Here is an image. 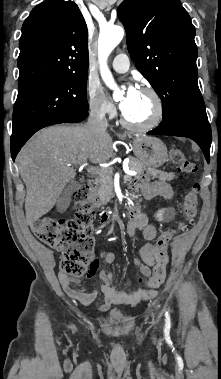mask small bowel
I'll return each instance as SVG.
<instances>
[{
	"label": "small bowel",
	"mask_w": 221,
	"mask_h": 379,
	"mask_svg": "<svg viewBox=\"0 0 221 379\" xmlns=\"http://www.w3.org/2000/svg\"><path fill=\"white\" fill-rule=\"evenodd\" d=\"M134 189L141 192L147 199H152L157 196H162L165 199H171L173 195L172 187L165 181H149L142 178L134 184ZM127 233L130 237H134L137 233H141L147 241H152L158 234V228L149 223L148 216L143 212L132 214L127 223ZM157 247L155 244L147 243L140 249V259H135L134 264L139 269L140 273L148 277L151 275V268L156 262ZM100 257L111 266L115 261L113 252H102ZM95 264H90L87 267V272L84 273V278L92 280L93 275L97 274L100 279V290L104 295V302L99 307L100 312L106 311L111 305L125 304L136 305L141 300L153 298L155 292L136 288L131 290H121L114 284L113 273L110 269L101 270L102 266L95 259H92ZM59 280L65 293L72 299L80 302L85 306L91 305L97 297V289L93 284L89 285L86 291L77 290L74 285L79 283L77 278L71 277L64 272L59 273Z\"/></svg>",
	"instance_id": "c3829d8e"
}]
</instances>
